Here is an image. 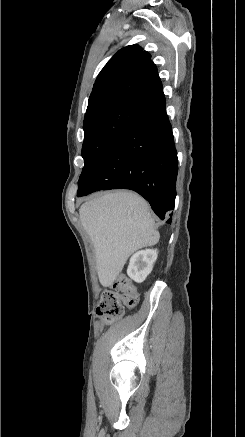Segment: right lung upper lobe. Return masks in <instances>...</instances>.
<instances>
[{
  "mask_svg": "<svg viewBox=\"0 0 245 437\" xmlns=\"http://www.w3.org/2000/svg\"><path fill=\"white\" fill-rule=\"evenodd\" d=\"M163 101L157 67L151 55L136 44L119 50L101 70L86 112L106 103L123 102L142 110Z\"/></svg>",
  "mask_w": 245,
  "mask_h": 437,
  "instance_id": "1",
  "label": "right lung upper lobe"
}]
</instances>
